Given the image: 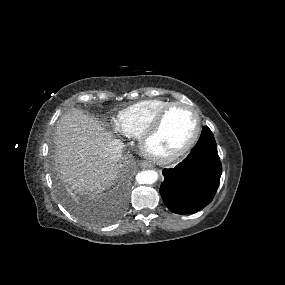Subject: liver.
Returning <instances> with one entry per match:
<instances>
[{
    "label": "liver",
    "mask_w": 285,
    "mask_h": 285,
    "mask_svg": "<svg viewBox=\"0 0 285 285\" xmlns=\"http://www.w3.org/2000/svg\"><path fill=\"white\" fill-rule=\"evenodd\" d=\"M111 134L83 111L72 110L58 120L55 129L56 163L64 182L76 191L100 193L119 174L110 157Z\"/></svg>",
    "instance_id": "6515ba94"
}]
</instances>
